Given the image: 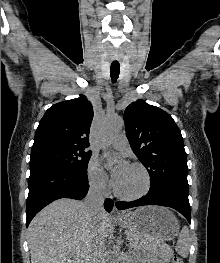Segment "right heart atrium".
Here are the masks:
<instances>
[{"instance_id": "d8ad5b80", "label": "right heart atrium", "mask_w": 220, "mask_h": 263, "mask_svg": "<svg viewBox=\"0 0 220 263\" xmlns=\"http://www.w3.org/2000/svg\"><path fill=\"white\" fill-rule=\"evenodd\" d=\"M86 178L90 188L97 192H103L108 188L109 181L98 159L92 156L86 167Z\"/></svg>"}]
</instances>
